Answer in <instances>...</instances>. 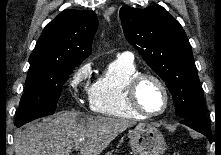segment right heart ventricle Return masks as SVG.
Returning a JSON list of instances; mask_svg holds the SVG:
<instances>
[{
  "label": "right heart ventricle",
  "mask_w": 221,
  "mask_h": 155,
  "mask_svg": "<svg viewBox=\"0 0 221 155\" xmlns=\"http://www.w3.org/2000/svg\"><path fill=\"white\" fill-rule=\"evenodd\" d=\"M139 73L133 60L116 58L94 81L90 90V107L93 112L117 118L139 119L143 116L129 106L126 86Z\"/></svg>",
  "instance_id": "1"
}]
</instances>
